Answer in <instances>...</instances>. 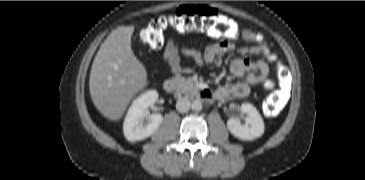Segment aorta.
<instances>
[{
    "instance_id": "1",
    "label": "aorta",
    "mask_w": 365,
    "mask_h": 180,
    "mask_svg": "<svg viewBox=\"0 0 365 180\" xmlns=\"http://www.w3.org/2000/svg\"><path fill=\"white\" fill-rule=\"evenodd\" d=\"M191 108L194 111H200L202 109V103L199 100H194L191 104Z\"/></svg>"
}]
</instances>
